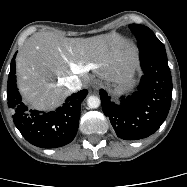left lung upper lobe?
Segmentation results:
<instances>
[{"instance_id":"left-lung-upper-lobe-1","label":"left lung upper lobe","mask_w":187,"mask_h":187,"mask_svg":"<svg viewBox=\"0 0 187 187\" xmlns=\"http://www.w3.org/2000/svg\"><path fill=\"white\" fill-rule=\"evenodd\" d=\"M129 28L134 32L141 51L166 56L163 43L155 36L152 30L138 24H130Z\"/></svg>"}]
</instances>
